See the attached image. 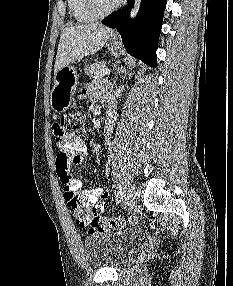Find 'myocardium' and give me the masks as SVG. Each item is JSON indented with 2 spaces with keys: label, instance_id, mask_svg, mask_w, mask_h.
Instances as JSON below:
<instances>
[{
  "label": "myocardium",
  "instance_id": "myocardium-1",
  "mask_svg": "<svg viewBox=\"0 0 233 286\" xmlns=\"http://www.w3.org/2000/svg\"><path fill=\"white\" fill-rule=\"evenodd\" d=\"M87 6L89 10L96 16V17H104L111 13H113L115 10H117L121 4L123 3V0L120 2H116L114 5H112L109 8H102L99 0H86Z\"/></svg>",
  "mask_w": 233,
  "mask_h": 286
}]
</instances>
